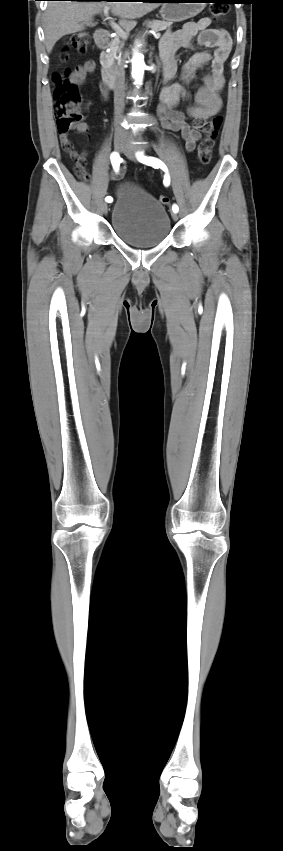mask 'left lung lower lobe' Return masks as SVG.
<instances>
[{
	"label": "left lung lower lobe",
	"mask_w": 283,
	"mask_h": 851,
	"mask_svg": "<svg viewBox=\"0 0 283 851\" xmlns=\"http://www.w3.org/2000/svg\"><path fill=\"white\" fill-rule=\"evenodd\" d=\"M150 1H152V2H167L168 0H150ZM220 3L234 4V3H237V2L235 0H229L228 2H220Z\"/></svg>",
	"instance_id": "0a47b994"
}]
</instances>
